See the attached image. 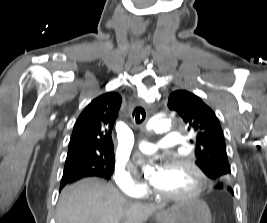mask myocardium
<instances>
[{
	"mask_svg": "<svg viewBox=\"0 0 267 223\" xmlns=\"http://www.w3.org/2000/svg\"><path fill=\"white\" fill-rule=\"evenodd\" d=\"M178 166H186L192 170L196 177V186L193 190L182 194H167L153 188L154 195L162 200L169 202L191 201L197 199L206 188V176L204 172L189 158L181 156H172L166 161V167L174 168Z\"/></svg>",
	"mask_w": 267,
	"mask_h": 223,
	"instance_id": "1",
	"label": "myocardium"
}]
</instances>
